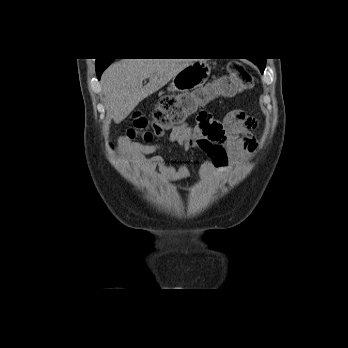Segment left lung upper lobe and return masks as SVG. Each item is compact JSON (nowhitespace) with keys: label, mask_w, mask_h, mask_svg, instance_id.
<instances>
[{"label":"left lung upper lobe","mask_w":348,"mask_h":348,"mask_svg":"<svg viewBox=\"0 0 348 348\" xmlns=\"http://www.w3.org/2000/svg\"><path fill=\"white\" fill-rule=\"evenodd\" d=\"M265 63H266V60H265V59L255 61V64L258 65V67L260 68V70H261L262 73H263L264 68H265Z\"/></svg>","instance_id":"1"}]
</instances>
